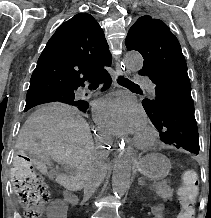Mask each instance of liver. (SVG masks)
Instances as JSON below:
<instances>
[{
    "label": "liver",
    "instance_id": "1",
    "mask_svg": "<svg viewBox=\"0 0 211 218\" xmlns=\"http://www.w3.org/2000/svg\"><path fill=\"white\" fill-rule=\"evenodd\" d=\"M17 148L31 154L32 162L46 174V158L65 162L75 168L74 180L56 176L57 184L64 188L80 186L85 174L106 166L94 148L90 128L80 112L65 104H50L36 110L23 124L16 142ZM98 162H102L98 166Z\"/></svg>",
    "mask_w": 211,
    "mask_h": 218
}]
</instances>
